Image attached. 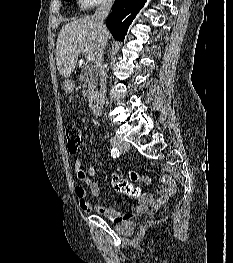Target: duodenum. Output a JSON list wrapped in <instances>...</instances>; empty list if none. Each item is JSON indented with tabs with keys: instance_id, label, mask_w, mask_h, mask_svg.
Masks as SVG:
<instances>
[{
	"instance_id": "410a0bca",
	"label": "duodenum",
	"mask_w": 233,
	"mask_h": 263,
	"mask_svg": "<svg viewBox=\"0 0 233 263\" xmlns=\"http://www.w3.org/2000/svg\"><path fill=\"white\" fill-rule=\"evenodd\" d=\"M87 90L86 97L89 98L90 106L95 115H100L102 112L101 104L103 99L100 98L99 94V86L97 82L89 81V85L85 86Z\"/></svg>"
}]
</instances>
